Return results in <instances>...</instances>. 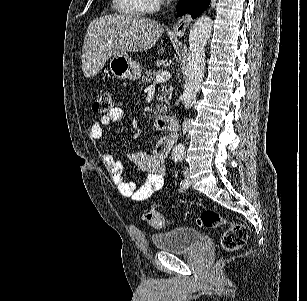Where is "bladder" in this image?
<instances>
[{
  "label": "bladder",
  "mask_w": 307,
  "mask_h": 301,
  "mask_svg": "<svg viewBox=\"0 0 307 301\" xmlns=\"http://www.w3.org/2000/svg\"><path fill=\"white\" fill-rule=\"evenodd\" d=\"M157 250L171 253L191 252L196 250L204 240L198 229L181 227L161 235L151 236Z\"/></svg>",
  "instance_id": "1"
}]
</instances>
